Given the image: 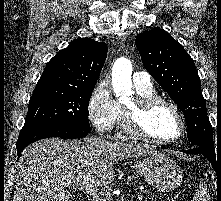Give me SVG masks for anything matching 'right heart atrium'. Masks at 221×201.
I'll return each mask as SVG.
<instances>
[{"instance_id": "d8ad5b80", "label": "right heart atrium", "mask_w": 221, "mask_h": 201, "mask_svg": "<svg viewBox=\"0 0 221 201\" xmlns=\"http://www.w3.org/2000/svg\"><path fill=\"white\" fill-rule=\"evenodd\" d=\"M88 118L101 133L112 130L120 117V105L106 83H100L92 92L87 107Z\"/></svg>"}]
</instances>
